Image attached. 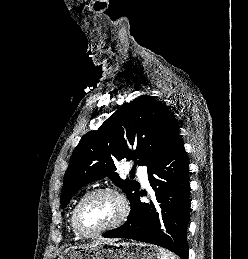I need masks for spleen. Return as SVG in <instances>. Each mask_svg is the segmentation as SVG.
Masks as SVG:
<instances>
[{"mask_svg":"<svg viewBox=\"0 0 248 259\" xmlns=\"http://www.w3.org/2000/svg\"><path fill=\"white\" fill-rule=\"evenodd\" d=\"M159 259H178L173 253L160 248V258Z\"/></svg>","mask_w":248,"mask_h":259,"instance_id":"obj_1","label":"spleen"}]
</instances>
